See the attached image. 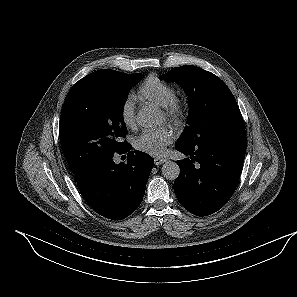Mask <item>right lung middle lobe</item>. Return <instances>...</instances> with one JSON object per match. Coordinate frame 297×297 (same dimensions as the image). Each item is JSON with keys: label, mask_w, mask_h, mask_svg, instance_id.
Listing matches in <instances>:
<instances>
[{"label": "right lung middle lobe", "mask_w": 297, "mask_h": 297, "mask_svg": "<svg viewBox=\"0 0 297 297\" xmlns=\"http://www.w3.org/2000/svg\"><path fill=\"white\" fill-rule=\"evenodd\" d=\"M143 74L115 72L105 81L71 88L64 102L59 135L62 151L76 174L89 163L111 157L127 147L123 120L124 103L130 88Z\"/></svg>", "instance_id": "right-lung-middle-lobe-1"}]
</instances>
